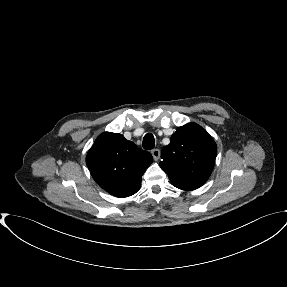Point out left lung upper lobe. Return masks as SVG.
I'll list each match as a JSON object with an SVG mask.
<instances>
[{"instance_id": "left-lung-upper-lobe-1", "label": "left lung upper lobe", "mask_w": 287, "mask_h": 287, "mask_svg": "<svg viewBox=\"0 0 287 287\" xmlns=\"http://www.w3.org/2000/svg\"><path fill=\"white\" fill-rule=\"evenodd\" d=\"M217 146L199 125L188 123L178 127L161 153V169L173 186L195 190L209 178L215 163Z\"/></svg>"}]
</instances>
